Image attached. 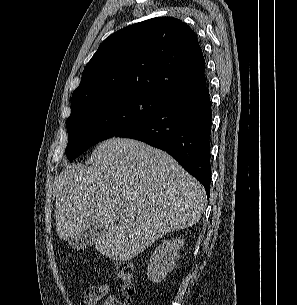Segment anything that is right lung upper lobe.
Instances as JSON below:
<instances>
[{"instance_id":"cb5924a9","label":"right lung upper lobe","mask_w":297,"mask_h":305,"mask_svg":"<svg viewBox=\"0 0 297 305\" xmlns=\"http://www.w3.org/2000/svg\"><path fill=\"white\" fill-rule=\"evenodd\" d=\"M194 31L173 17H156L106 38L72 94V111L99 99L143 92L169 98L206 84Z\"/></svg>"}]
</instances>
